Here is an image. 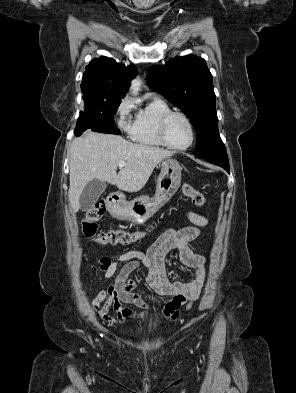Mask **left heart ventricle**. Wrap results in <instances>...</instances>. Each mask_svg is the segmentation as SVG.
I'll return each instance as SVG.
<instances>
[{"label":"left heart ventricle","mask_w":296,"mask_h":393,"mask_svg":"<svg viewBox=\"0 0 296 393\" xmlns=\"http://www.w3.org/2000/svg\"><path fill=\"white\" fill-rule=\"evenodd\" d=\"M168 141L175 146H185L189 143L191 134L186 121L179 117H173L167 126Z\"/></svg>","instance_id":"b2bd125f"}]
</instances>
